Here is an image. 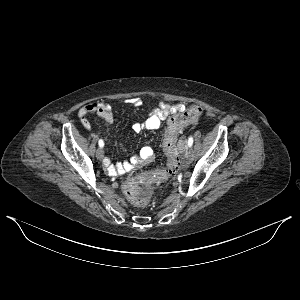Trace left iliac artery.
I'll use <instances>...</instances> for the list:
<instances>
[{
  "mask_svg": "<svg viewBox=\"0 0 300 300\" xmlns=\"http://www.w3.org/2000/svg\"><path fill=\"white\" fill-rule=\"evenodd\" d=\"M193 144V137L190 136L189 139H188V146L191 147Z\"/></svg>",
  "mask_w": 300,
  "mask_h": 300,
  "instance_id": "obj_1",
  "label": "left iliac artery"
}]
</instances>
